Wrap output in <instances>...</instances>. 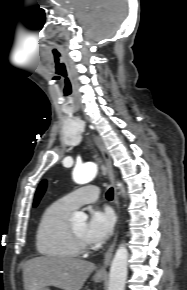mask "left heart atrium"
I'll list each match as a JSON object with an SVG mask.
<instances>
[{
	"instance_id": "39dd6f15",
	"label": "left heart atrium",
	"mask_w": 187,
	"mask_h": 290,
	"mask_svg": "<svg viewBox=\"0 0 187 290\" xmlns=\"http://www.w3.org/2000/svg\"><path fill=\"white\" fill-rule=\"evenodd\" d=\"M114 215L108 210L92 209L86 225L85 237L89 243H102L113 232Z\"/></svg>"
}]
</instances>
